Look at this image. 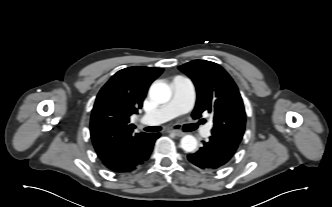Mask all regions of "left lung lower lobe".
<instances>
[{"instance_id": "left-lung-lower-lobe-1", "label": "left lung lower lobe", "mask_w": 332, "mask_h": 207, "mask_svg": "<svg viewBox=\"0 0 332 207\" xmlns=\"http://www.w3.org/2000/svg\"><path fill=\"white\" fill-rule=\"evenodd\" d=\"M238 144L219 136H211L195 153L189 154L188 160L204 171H215L224 167L233 157Z\"/></svg>"}]
</instances>
